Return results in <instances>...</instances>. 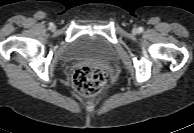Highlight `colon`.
I'll return each instance as SVG.
<instances>
[{
  "mask_svg": "<svg viewBox=\"0 0 194 133\" xmlns=\"http://www.w3.org/2000/svg\"><path fill=\"white\" fill-rule=\"evenodd\" d=\"M106 73L99 67L80 66L73 73V85L77 93L92 96L105 86Z\"/></svg>",
  "mask_w": 194,
  "mask_h": 133,
  "instance_id": "colon-1",
  "label": "colon"
}]
</instances>
